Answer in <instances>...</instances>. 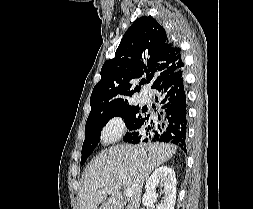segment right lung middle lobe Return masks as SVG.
<instances>
[{
	"instance_id": "right-lung-middle-lobe-1",
	"label": "right lung middle lobe",
	"mask_w": 253,
	"mask_h": 209,
	"mask_svg": "<svg viewBox=\"0 0 253 209\" xmlns=\"http://www.w3.org/2000/svg\"><path fill=\"white\" fill-rule=\"evenodd\" d=\"M115 116L122 117L125 120V124L130 131L129 133L136 131L141 126L140 123L143 119L141 114H139L138 106L116 109L107 113H100L88 117L85 126L86 137L82 146L81 165L86 162L87 158L90 156L100 141L102 127Z\"/></svg>"
}]
</instances>
